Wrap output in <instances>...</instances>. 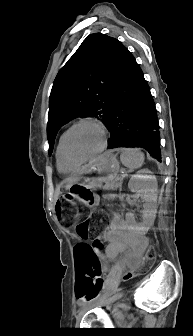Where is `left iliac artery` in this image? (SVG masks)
Segmentation results:
<instances>
[{"label":"left iliac artery","instance_id":"1","mask_svg":"<svg viewBox=\"0 0 193 336\" xmlns=\"http://www.w3.org/2000/svg\"><path fill=\"white\" fill-rule=\"evenodd\" d=\"M96 300H92L89 305H92L95 303Z\"/></svg>","mask_w":193,"mask_h":336}]
</instances>
